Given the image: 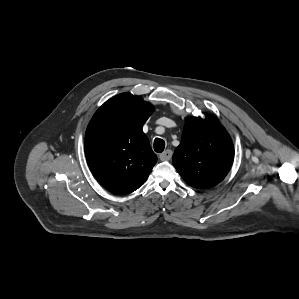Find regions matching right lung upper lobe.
<instances>
[{
    "label": "right lung upper lobe",
    "mask_w": 299,
    "mask_h": 299,
    "mask_svg": "<svg viewBox=\"0 0 299 299\" xmlns=\"http://www.w3.org/2000/svg\"><path fill=\"white\" fill-rule=\"evenodd\" d=\"M154 107L122 93L105 102L85 134L87 163L102 186L117 194L131 193L147 180L157 161L142 127Z\"/></svg>",
    "instance_id": "obj_1"
}]
</instances>
